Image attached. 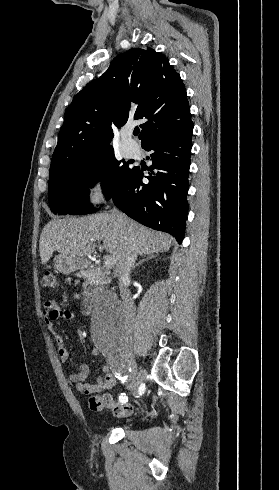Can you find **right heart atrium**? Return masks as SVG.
<instances>
[{"instance_id": "right-heart-atrium-1", "label": "right heart atrium", "mask_w": 279, "mask_h": 490, "mask_svg": "<svg viewBox=\"0 0 279 490\" xmlns=\"http://www.w3.org/2000/svg\"><path fill=\"white\" fill-rule=\"evenodd\" d=\"M111 170L102 166L91 173L86 185V202L89 207L97 208L106 198L110 186Z\"/></svg>"}]
</instances>
